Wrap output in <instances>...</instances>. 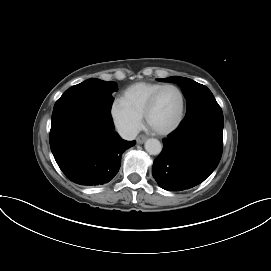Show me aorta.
<instances>
[{
  "label": "aorta",
  "mask_w": 271,
  "mask_h": 271,
  "mask_svg": "<svg viewBox=\"0 0 271 271\" xmlns=\"http://www.w3.org/2000/svg\"><path fill=\"white\" fill-rule=\"evenodd\" d=\"M144 147L150 155H158L162 151V145L160 141L154 138L146 140Z\"/></svg>",
  "instance_id": "762f6f07"
}]
</instances>
